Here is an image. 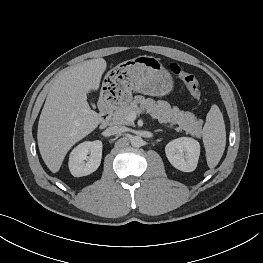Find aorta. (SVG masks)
<instances>
[{
  "instance_id": "aorta-1",
  "label": "aorta",
  "mask_w": 263,
  "mask_h": 263,
  "mask_svg": "<svg viewBox=\"0 0 263 263\" xmlns=\"http://www.w3.org/2000/svg\"><path fill=\"white\" fill-rule=\"evenodd\" d=\"M133 147L139 148L143 145V139L140 136H133L130 140Z\"/></svg>"
}]
</instances>
